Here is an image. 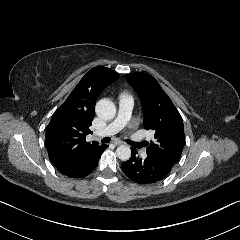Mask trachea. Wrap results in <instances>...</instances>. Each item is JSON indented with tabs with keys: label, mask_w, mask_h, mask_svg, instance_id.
Returning <instances> with one entry per match:
<instances>
[{
	"label": "trachea",
	"mask_w": 240,
	"mask_h": 240,
	"mask_svg": "<svg viewBox=\"0 0 240 240\" xmlns=\"http://www.w3.org/2000/svg\"><path fill=\"white\" fill-rule=\"evenodd\" d=\"M111 141V139L109 137H105L102 139V143H109Z\"/></svg>",
	"instance_id": "trachea-1"
}]
</instances>
